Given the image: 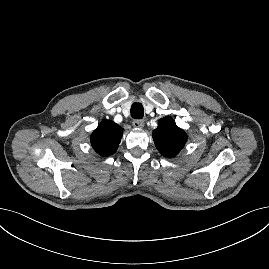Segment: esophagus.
Wrapping results in <instances>:
<instances>
[{
  "instance_id": "esophagus-1",
  "label": "esophagus",
  "mask_w": 269,
  "mask_h": 269,
  "mask_svg": "<svg viewBox=\"0 0 269 269\" xmlns=\"http://www.w3.org/2000/svg\"><path fill=\"white\" fill-rule=\"evenodd\" d=\"M144 124H145V122L142 119H135L132 122L133 127L134 128H137V129L143 128L144 127Z\"/></svg>"
}]
</instances>
